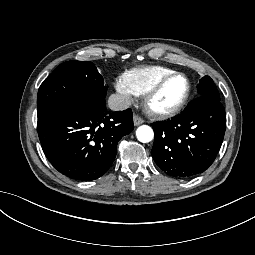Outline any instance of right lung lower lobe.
I'll return each instance as SVG.
<instances>
[{
	"mask_svg": "<svg viewBox=\"0 0 255 255\" xmlns=\"http://www.w3.org/2000/svg\"><path fill=\"white\" fill-rule=\"evenodd\" d=\"M42 149L63 175L81 181L102 176L112 165L117 143L133 130L132 110L110 113L106 107L71 98L38 114Z\"/></svg>",
	"mask_w": 255,
	"mask_h": 255,
	"instance_id": "obj_1",
	"label": "right lung lower lobe"
}]
</instances>
